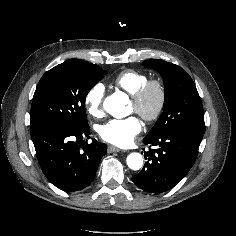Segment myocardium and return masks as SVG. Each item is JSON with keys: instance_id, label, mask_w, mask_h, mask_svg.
<instances>
[{"instance_id": "myocardium-1", "label": "myocardium", "mask_w": 236, "mask_h": 236, "mask_svg": "<svg viewBox=\"0 0 236 236\" xmlns=\"http://www.w3.org/2000/svg\"><path fill=\"white\" fill-rule=\"evenodd\" d=\"M155 93L157 101L153 109L147 108V101L151 94ZM135 111L145 121H156L162 114L166 104V88L159 79H149L135 94L132 95Z\"/></svg>"}]
</instances>
